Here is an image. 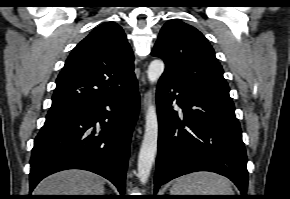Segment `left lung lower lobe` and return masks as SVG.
<instances>
[{
	"label": "left lung lower lobe",
	"mask_w": 290,
	"mask_h": 199,
	"mask_svg": "<svg viewBox=\"0 0 290 199\" xmlns=\"http://www.w3.org/2000/svg\"><path fill=\"white\" fill-rule=\"evenodd\" d=\"M176 100L182 114L173 110ZM159 120L155 193L160 185L196 171L232 180L247 198V156L232 100L214 96L165 76L157 87Z\"/></svg>",
	"instance_id": "left-lung-lower-lobe-1"
}]
</instances>
